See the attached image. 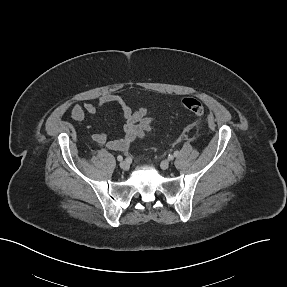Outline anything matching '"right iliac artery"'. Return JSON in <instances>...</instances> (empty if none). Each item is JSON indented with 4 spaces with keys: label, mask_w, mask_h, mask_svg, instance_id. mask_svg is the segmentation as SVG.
<instances>
[{
    "label": "right iliac artery",
    "mask_w": 287,
    "mask_h": 287,
    "mask_svg": "<svg viewBox=\"0 0 287 287\" xmlns=\"http://www.w3.org/2000/svg\"><path fill=\"white\" fill-rule=\"evenodd\" d=\"M117 160H118V161H122V160H123V157H122L121 155H119V156L117 157Z\"/></svg>",
    "instance_id": "1"
}]
</instances>
